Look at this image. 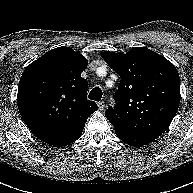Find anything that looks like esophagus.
<instances>
[{"label": "esophagus", "instance_id": "esophagus-1", "mask_svg": "<svg viewBox=\"0 0 193 193\" xmlns=\"http://www.w3.org/2000/svg\"><path fill=\"white\" fill-rule=\"evenodd\" d=\"M98 107H99V110H104V108H105V102L104 101H100L99 103H98Z\"/></svg>", "mask_w": 193, "mask_h": 193}]
</instances>
